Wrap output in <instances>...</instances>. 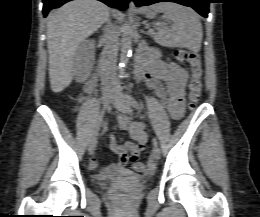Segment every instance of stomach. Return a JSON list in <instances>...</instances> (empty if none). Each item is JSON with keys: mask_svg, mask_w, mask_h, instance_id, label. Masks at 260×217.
Wrapping results in <instances>:
<instances>
[{"mask_svg": "<svg viewBox=\"0 0 260 217\" xmlns=\"http://www.w3.org/2000/svg\"><path fill=\"white\" fill-rule=\"evenodd\" d=\"M147 17H148V18H153V17H154V13L151 12V11H149V12L147 13Z\"/></svg>", "mask_w": 260, "mask_h": 217, "instance_id": "1", "label": "stomach"}]
</instances>
